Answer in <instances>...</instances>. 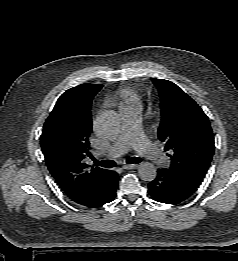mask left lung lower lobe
<instances>
[{
  "label": "left lung lower lobe",
  "instance_id": "left-lung-lower-lobe-1",
  "mask_svg": "<svg viewBox=\"0 0 238 261\" xmlns=\"http://www.w3.org/2000/svg\"><path fill=\"white\" fill-rule=\"evenodd\" d=\"M198 186L177 177L169 169H158L156 178L148 185L150 196L162 203L178 204L189 198Z\"/></svg>",
  "mask_w": 238,
  "mask_h": 261
}]
</instances>
